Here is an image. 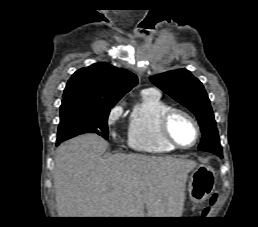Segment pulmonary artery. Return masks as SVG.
<instances>
[{
    "instance_id": "1",
    "label": "pulmonary artery",
    "mask_w": 258,
    "mask_h": 227,
    "mask_svg": "<svg viewBox=\"0 0 258 227\" xmlns=\"http://www.w3.org/2000/svg\"><path fill=\"white\" fill-rule=\"evenodd\" d=\"M147 92H154L156 93V90L155 89H149V90H146Z\"/></svg>"
}]
</instances>
